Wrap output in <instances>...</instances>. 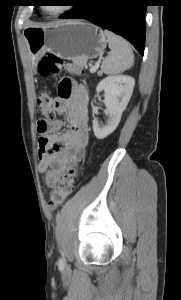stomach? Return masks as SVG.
<instances>
[{"mask_svg": "<svg viewBox=\"0 0 181 300\" xmlns=\"http://www.w3.org/2000/svg\"><path fill=\"white\" fill-rule=\"evenodd\" d=\"M23 35L35 64L46 52L85 64L89 59L99 56L107 45L105 32L100 27L78 20L29 27Z\"/></svg>", "mask_w": 181, "mask_h": 300, "instance_id": "obj_1", "label": "stomach"}]
</instances>
